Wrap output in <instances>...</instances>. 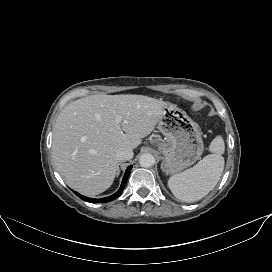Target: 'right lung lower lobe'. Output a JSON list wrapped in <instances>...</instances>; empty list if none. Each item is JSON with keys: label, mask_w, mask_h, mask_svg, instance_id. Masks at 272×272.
I'll return each instance as SVG.
<instances>
[{"label": "right lung lower lobe", "mask_w": 272, "mask_h": 272, "mask_svg": "<svg viewBox=\"0 0 272 272\" xmlns=\"http://www.w3.org/2000/svg\"><path fill=\"white\" fill-rule=\"evenodd\" d=\"M131 169H132V166H129V167L127 168V170H126V172H125V175H124V177H123V180H122V183H121V186H120L119 190H118L115 194H113V195H111V196H109V197H105V198H101V199H93V198H88V197H85V196H83V195H80V194L77 193V192H74V193H75L78 197H80L82 200H85V201L91 202V203H104V202L112 201V200L118 198V197L121 195V193L123 192V189H124V187H125V185H126V182H127V179H128V176H129V174H130Z\"/></svg>", "instance_id": "98d812e1"}]
</instances>
